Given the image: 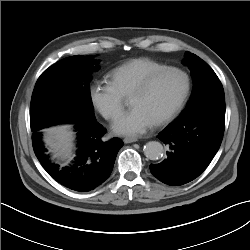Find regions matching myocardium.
Wrapping results in <instances>:
<instances>
[{"mask_svg":"<svg viewBox=\"0 0 250 250\" xmlns=\"http://www.w3.org/2000/svg\"><path fill=\"white\" fill-rule=\"evenodd\" d=\"M175 72L179 73L184 77L185 80V87L184 91L179 99V101L176 103V105L161 119L155 122L156 126H163L168 124L170 121H172L183 109L185 106L189 95L191 91V78L190 75L182 68L174 67V66H166L164 68H161L159 70H156L149 74L132 92L131 96L137 95V94H144L146 93L150 87L153 85V83L163 74Z\"/></svg>","mask_w":250,"mask_h":250,"instance_id":"myocardium-1","label":"myocardium"}]
</instances>
